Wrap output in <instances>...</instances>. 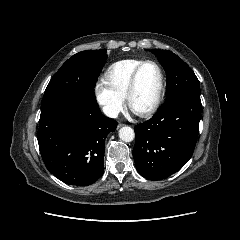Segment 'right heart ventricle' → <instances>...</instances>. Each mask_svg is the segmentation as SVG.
Masks as SVG:
<instances>
[{
  "mask_svg": "<svg viewBox=\"0 0 240 240\" xmlns=\"http://www.w3.org/2000/svg\"><path fill=\"white\" fill-rule=\"evenodd\" d=\"M141 62V59H124L111 64L104 74L105 83L125 98L131 74Z\"/></svg>",
  "mask_w": 240,
  "mask_h": 240,
  "instance_id": "e07e8e85",
  "label": "right heart ventricle"
}]
</instances>
